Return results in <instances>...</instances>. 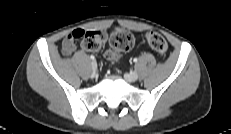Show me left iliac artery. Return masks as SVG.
<instances>
[{
    "label": "left iliac artery",
    "mask_w": 231,
    "mask_h": 134,
    "mask_svg": "<svg viewBox=\"0 0 231 134\" xmlns=\"http://www.w3.org/2000/svg\"><path fill=\"white\" fill-rule=\"evenodd\" d=\"M135 63L138 61V59L137 58H134V60H133Z\"/></svg>",
    "instance_id": "left-iliac-artery-1"
}]
</instances>
